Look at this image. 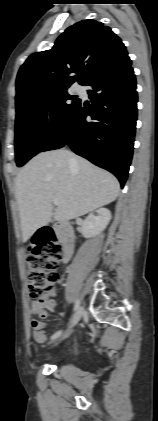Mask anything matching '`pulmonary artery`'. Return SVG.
<instances>
[{"label":"pulmonary artery","instance_id":"1","mask_svg":"<svg viewBox=\"0 0 158 421\" xmlns=\"http://www.w3.org/2000/svg\"><path fill=\"white\" fill-rule=\"evenodd\" d=\"M75 91H76L77 93H81V92L83 91V88H82L81 86H77V87L75 88Z\"/></svg>","mask_w":158,"mask_h":421}]
</instances>
